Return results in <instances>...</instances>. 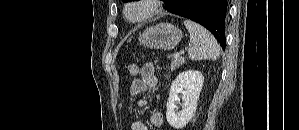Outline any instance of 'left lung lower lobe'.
<instances>
[{
	"mask_svg": "<svg viewBox=\"0 0 299 130\" xmlns=\"http://www.w3.org/2000/svg\"><path fill=\"white\" fill-rule=\"evenodd\" d=\"M165 9L204 26L225 49L227 0H167Z\"/></svg>",
	"mask_w": 299,
	"mask_h": 130,
	"instance_id": "1",
	"label": "left lung lower lobe"
}]
</instances>
